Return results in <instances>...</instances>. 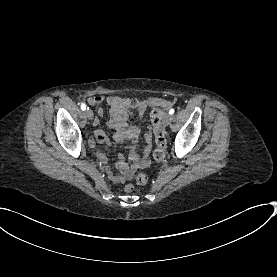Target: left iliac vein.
Returning a JSON list of instances; mask_svg holds the SVG:
<instances>
[{"instance_id": "1", "label": "left iliac vein", "mask_w": 277, "mask_h": 277, "mask_svg": "<svg viewBox=\"0 0 277 277\" xmlns=\"http://www.w3.org/2000/svg\"><path fill=\"white\" fill-rule=\"evenodd\" d=\"M171 119H172L171 114H166L163 119L164 126H168L171 122Z\"/></svg>"}]
</instances>
